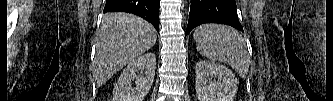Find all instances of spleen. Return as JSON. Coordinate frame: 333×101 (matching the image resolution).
Returning a JSON list of instances; mask_svg holds the SVG:
<instances>
[{
  "label": "spleen",
  "instance_id": "1",
  "mask_svg": "<svg viewBox=\"0 0 333 101\" xmlns=\"http://www.w3.org/2000/svg\"><path fill=\"white\" fill-rule=\"evenodd\" d=\"M194 40L198 52L208 59L227 63L245 78L250 58L239 32L229 26L204 24L196 28Z\"/></svg>",
  "mask_w": 333,
  "mask_h": 101
}]
</instances>
